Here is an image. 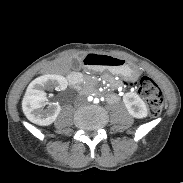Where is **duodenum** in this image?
<instances>
[{"mask_svg":"<svg viewBox=\"0 0 183 183\" xmlns=\"http://www.w3.org/2000/svg\"><path fill=\"white\" fill-rule=\"evenodd\" d=\"M83 78V73L80 70H75L71 75H69L68 80L71 87L76 86L80 80Z\"/></svg>","mask_w":183,"mask_h":183,"instance_id":"duodenum-1","label":"duodenum"}]
</instances>
